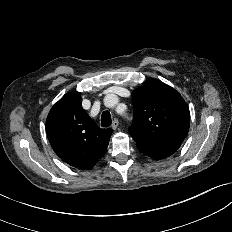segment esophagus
I'll use <instances>...</instances> for the list:
<instances>
[{
	"label": "esophagus",
	"instance_id": "34e87169",
	"mask_svg": "<svg viewBox=\"0 0 232 232\" xmlns=\"http://www.w3.org/2000/svg\"><path fill=\"white\" fill-rule=\"evenodd\" d=\"M118 125H119V121L117 119H115V120H113L111 127H112V129L116 130Z\"/></svg>",
	"mask_w": 232,
	"mask_h": 232
}]
</instances>
